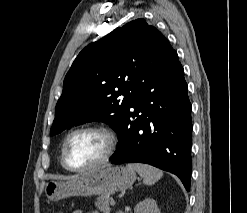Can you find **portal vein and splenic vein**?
Listing matches in <instances>:
<instances>
[{"label":"portal vein and splenic vein","instance_id":"obj_1","mask_svg":"<svg viewBox=\"0 0 247 213\" xmlns=\"http://www.w3.org/2000/svg\"><path fill=\"white\" fill-rule=\"evenodd\" d=\"M110 204H111L112 206H114V205H115V200L112 199L111 202H110Z\"/></svg>","mask_w":247,"mask_h":213}]
</instances>
